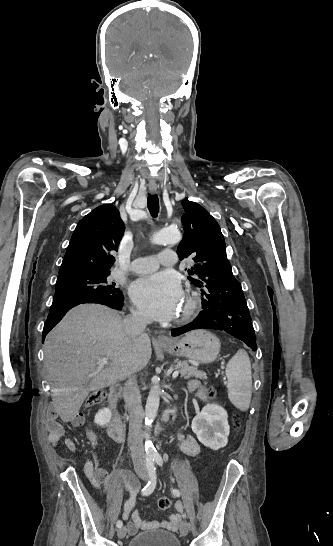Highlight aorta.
<instances>
[{"instance_id":"obj_1","label":"aorta","mask_w":333,"mask_h":546,"mask_svg":"<svg viewBox=\"0 0 333 546\" xmlns=\"http://www.w3.org/2000/svg\"><path fill=\"white\" fill-rule=\"evenodd\" d=\"M181 240V234L177 229H162L159 232L155 233L152 238V242L155 244H164V243H178ZM160 393L161 389L159 383L154 379V384L150 389L146 407H145V428H146V440H145V451L147 455L154 454L156 449L150 440L149 430L152 427V424L155 420V417L158 412L159 402H160Z\"/></svg>"}]
</instances>
